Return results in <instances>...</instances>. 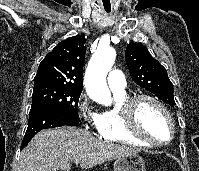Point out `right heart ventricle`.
I'll return each mask as SVG.
<instances>
[{
  "label": "right heart ventricle",
  "mask_w": 199,
  "mask_h": 171,
  "mask_svg": "<svg viewBox=\"0 0 199 171\" xmlns=\"http://www.w3.org/2000/svg\"><path fill=\"white\" fill-rule=\"evenodd\" d=\"M115 106L100 114L99 136L105 140L137 146H151L130 134L125 126L122 104L128 98L125 90L113 91Z\"/></svg>",
  "instance_id": "obj_1"
}]
</instances>
